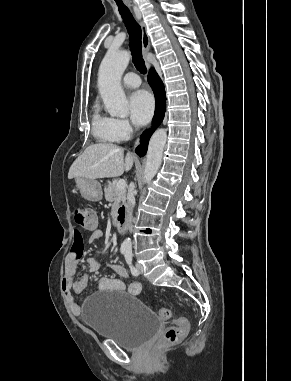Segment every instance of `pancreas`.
Listing matches in <instances>:
<instances>
[{
    "label": "pancreas",
    "instance_id": "pancreas-1",
    "mask_svg": "<svg viewBox=\"0 0 291 381\" xmlns=\"http://www.w3.org/2000/svg\"><path fill=\"white\" fill-rule=\"evenodd\" d=\"M105 199L108 202H113L112 205V218L115 220L117 215V209L121 202L125 201L126 190H118L114 183L109 182L108 186L104 188Z\"/></svg>",
    "mask_w": 291,
    "mask_h": 381
}]
</instances>
